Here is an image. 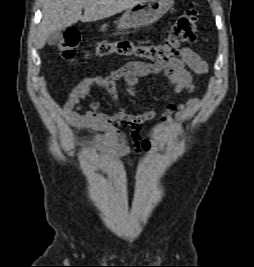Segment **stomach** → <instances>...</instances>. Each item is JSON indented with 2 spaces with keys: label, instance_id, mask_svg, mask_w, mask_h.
Here are the masks:
<instances>
[{
  "label": "stomach",
  "instance_id": "1",
  "mask_svg": "<svg viewBox=\"0 0 254 267\" xmlns=\"http://www.w3.org/2000/svg\"><path fill=\"white\" fill-rule=\"evenodd\" d=\"M174 5L173 0H144L125 11L116 22L118 31L139 29L158 21Z\"/></svg>",
  "mask_w": 254,
  "mask_h": 267
}]
</instances>
